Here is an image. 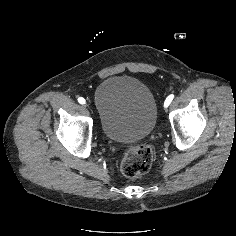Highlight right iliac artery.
<instances>
[{
	"mask_svg": "<svg viewBox=\"0 0 236 236\" xmlns=\"http://www.w3.org/2000/svg\"><path fill=\"white\" fill-rule=\"evenodd\" d=\"M78 102L80 103V104H85L86 103V101H85V99L83 98V97H79L78 98Z\"/></svg>",
	"mask_w": 236,
	"mask_h": 236,
	"instance_id": "82829eb1",
	"label": "right iliac artery"
}]
</instances>
